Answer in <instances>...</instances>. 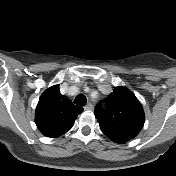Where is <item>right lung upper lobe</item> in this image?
<instances>
[{
    "label": "right lung upper lobe",
    "instance_id": "obj_1",
    "mask_svg": "<svg viewBox=\"0 0 176 176\" xmlns=\"http://www.w3.org/2000/svg\"><path fill=\"white\" fill-rule=\"evenodd\" d=\"M82 111L81 106L73 105L71 100L61 95L59 85H54L41 95L35 123L45 136L59 137L72 128Z\"/></svg>",
    "mask_w": 176,
    "mask_h": 176
}]
</instances>
